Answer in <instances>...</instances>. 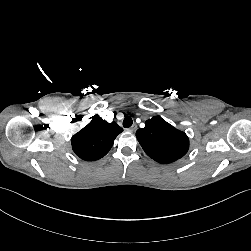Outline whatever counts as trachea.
<instances>
[{
	"label": "trachea",
	"mask_w": 251,
	"mask_h": 251,
	"mask_svg": "<svg viewBox=\"0 0 251 251\" xmlns=\"http://www.w3.org/2000/svg\"><path fill=\"white\" fill-rule=\"evenodd\" d=\"M132 123H133V120H132V118L131 117H126L124 120H123V126L125 127V128H128V127H130L131 125H132Z\"/></svg>",
	"instance_id": "trachea-1"
}]
</instances>
